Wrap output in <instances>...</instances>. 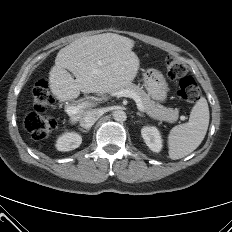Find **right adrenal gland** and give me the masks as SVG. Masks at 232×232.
<instances>
[{
  "label": "right adrenal gland",
  "mask_w": 232,
  "mask_h": 232,
  "mask_svg": "<svg viewBox=\"0 0 232 232\" xmlns=\"http://www.w3.org/2000/svg\"><path fill=\"white\" fill-rule=\"evenodd\" d=\"M79 130H80L81 132H83V133H88V132L90 131V128H85V129H83V128H80V127H79Z\"/></svg>",
  "instance_id": "right-adrenal-gland-1"
}]
</instances>
